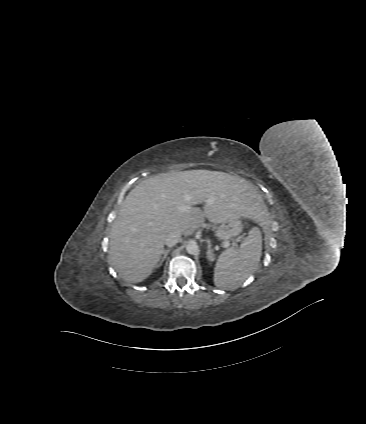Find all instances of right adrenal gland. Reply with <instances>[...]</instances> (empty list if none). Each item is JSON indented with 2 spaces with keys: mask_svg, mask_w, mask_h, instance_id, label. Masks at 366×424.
<instances>
[{
  "mask_svg": "<svg viewBox=\"0 0 366 424\" xmlns=\"http://www.w3.org/2000/svg\"><path fill=\"white\" fill-rule=\"evenodd\" d=\"M170 251H171V248L166 249V250H164V251H163V254H162L161 259H160V261H159V263H158V265H157V268H158V267H160V266L162 265V263L164 262V260L166 259L167 255H168V253H169Z\"/></svg>",
  "mask_w": 366,
  "mask_h": 424,
  "instance_id": "2a0ac1e0",
  "label": "right adrenal gland"
}]
</instances>
